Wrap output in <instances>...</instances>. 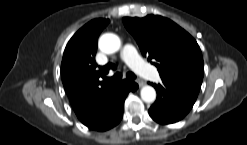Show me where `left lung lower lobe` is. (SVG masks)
I'll return each instance as SVG.
<instances>
[{"mask_svg": "<svg viewBox=\"0 0 247 145\" xmlns=\"http://www.w3.org/2000/svg\"><path fill=\"white\" fill-rule=\"evenodd\" d=\"M152 85L157 91V99L150 107L149 114L160 124H171L183 119L198 96V93L167 80Z\"/></svg>", "mask_w": 247, "mask_h": 145, "instance_id": "obj_1", "label": "left lung lower lobe"}]
</instances>
